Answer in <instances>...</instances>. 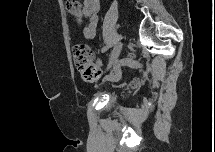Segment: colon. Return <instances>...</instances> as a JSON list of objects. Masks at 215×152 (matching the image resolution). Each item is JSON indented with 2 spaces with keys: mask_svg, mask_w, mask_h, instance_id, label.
<instances>
[{
  "mask_svg": "<svg viewBox=\"0 0 215 152\" xmlns=\"http://www.w3.org/2000/svg\"><path fill=\"white\" fill-rule=\"evenodd\" d=\"M66 8L69 14L78 22L81 23L86 18L79 1H67ZM72 57L75 67L81 73L84 80L88 81L98 77L100 70L94 62V54L89 46L84 44L75 45L72 50Z\"/></svg>",
  "mask_w": 215,
  "mask_h": 152,
  "instance_id": "colon-1",
  "label": "colon"
}]
</instances>
